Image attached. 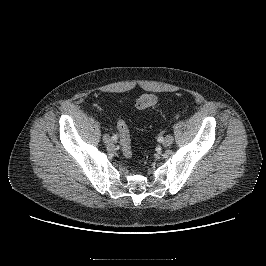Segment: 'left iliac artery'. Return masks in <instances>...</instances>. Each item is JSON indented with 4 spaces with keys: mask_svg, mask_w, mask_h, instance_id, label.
Segmentation results:
<instances>
[{
    "mask_svg": "<svg viewBox=\"0 0 266 266\" xmlns=\"http://www.w3.org/2000/svg\"><path fill=\"white\" fill-rule=\"evenodd\" d=\"M156 141H157V143H159V144H160V143H162V141H163V140H162V138H160V137H159V138H157V140H156Z\"/></svg>",
    "mask_w": 266,
    "mask_h": 266,
    "instance_id": "44dca946",
    "label": "left iliac artery"
}]
</instances>
